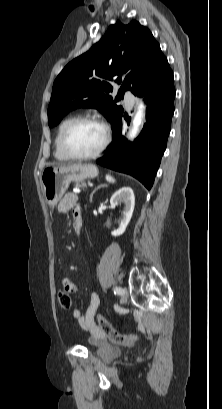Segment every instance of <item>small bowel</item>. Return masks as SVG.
Segmentation results:
<instances>
[{
	"label": "small bowel",
	"instance_id": "small-bowel-1",
	"mask_svg": "<svg viewBox=\"0 0 222 409\" xmlns=\"http://www.w3.org/2000/svg\"><path fill=\"white\" fill-rule=\"evenodd\" d=\"M58 211L61 213L73 212L74 226L79 234H82V212L77 201V196L74 193H67L58 205ZM65 287H70V295L76 296L79 292V287L71 280L64 281ZM100 305V299L96 293H92L85 314H82L79 309L73 311V317L78 321L79 325L90 334V341L94 344L105 341L103 332L94 322V317Z\"/></svg>",
	"mask_w": 222,
	"mask_h": 409
}]
</instances>
